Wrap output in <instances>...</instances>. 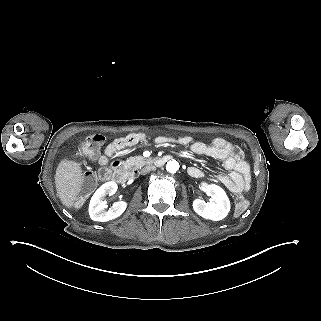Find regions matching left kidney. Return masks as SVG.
I'll use <instances>...</instances> for the list:
<instances>
[{
    "label": "left kidney",
    "instance_id": "obj_1",
    "mask_svg": "<svg viewBox=\"0 0 321 321\" xmlns=\"http://www.w3.org/2000/svg\"><path fill=\"white\" fill-rule=\"evenodd\" d=\"M205 192L210 196L209 202L201 199L193 201L194 211L205 219L219 221L224 219L230 211V201L225 191L218 185L202 183Z\"/></svg>",
    "mask_w": 321,
    "mask_h": 321
}]
</instances>
